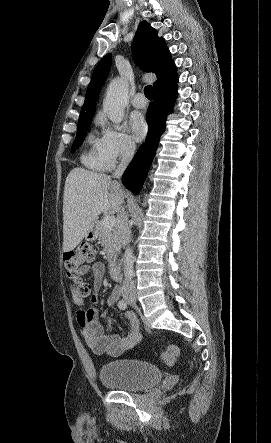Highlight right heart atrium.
<instances>
[{"label":"right heart atrium","mask_w":271,"mask_h":443,"mask_svg":"<svg viewBox=\"0 0 271 443\" xmlns=\"http://www.w3.org/2000/svg\"><path fill=\"white\" fill-rule=\"evenodd\" d=\"M95 122L102 128L99 151L110 165L135 151L136 147L130 135L122 127L109 124L102 112L97 113Z\"/></svg>","instance_id":"obj_1"}]
</instances>
